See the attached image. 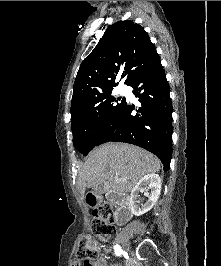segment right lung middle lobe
Segmentation results:
<instances>
[{"mask_svg": "<svg viewBox=\"0 0 221 266\" xmlns=\"http://www.w3.org/2000/svg\"><path fill=\"white\" fill-rule=\"evenodd\" d=\"M125 104L126 99L114 97L112 90L95 97L85 111L71 118L73 145L87 155L119 116Z\"/></svg>", "mask_w": 221, "mask_h": 266, "instance_id": "1", "label": "right lung middle lobe"}]
</instances>
